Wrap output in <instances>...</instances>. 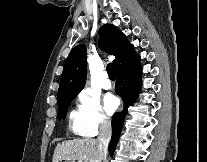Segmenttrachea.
<instances>
[{
	"instance_id": "trachea-1",
	"label": "trachea",
	"mask_w": 207,
	"mask_h": 162,
	"mask_svg": "<svg viewBox=\"0 0 207 162\" xmlns=\"http://www.w3.org/2000/svg\"><path fill=\"white\" fill-rule=\"evenodd\" d=\"M107 73H108V76L110 79H115V73H114V68H113V64L112 63H109L107 65Z\"/></svg>"
}]
</instances>
